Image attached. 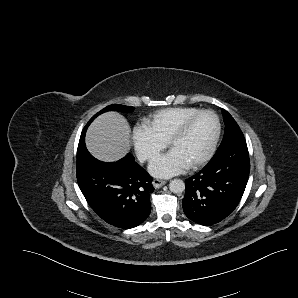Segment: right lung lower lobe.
Here are the masks:
<instances>
[{"label":"right lung lower lobe","mask_w":298,"mask_h":298,"mask_svg":"<svg viewBox=\"0 0 298 298\" xmlns=\"http://www.w3.org/2000/svg\"><path fill=\"white\" fill-rule=\"evenodd\" d=\"M77 151V181L90 207L107 223L130 229L151 211V176L127 154L117 162H102L86 149Z\"/></svg>","instance_id":"1"}]
</instances>
